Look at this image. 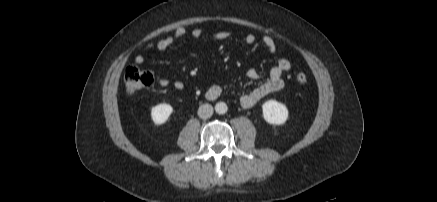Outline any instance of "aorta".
I'll return each mask as SVG.
<instances>
[{"mask_svg": "<svg viewBox=\"0 0 437 202\" xmlns=\"http://www.w3.org/2000/svg\"><path fill=\"white\" fill-rule=\"evenodd\" d=\"M228 110V107L225 102H218L215 105V111L218 114H225Z\"/></svg>", "mask_w": 437, "mask_h": 202, "instance_id": "obj_1", "label": "aorta"}]
</instances>
